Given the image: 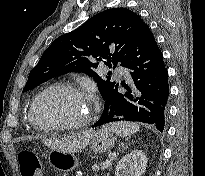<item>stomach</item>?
<instances>
[{"mask_svg": "<svg viewBox=\"0 0 205 176\" xmlns=\"http://www.w3.org/2000/svg\"><path fill=\"white\" fill-rule=\"evenodd\" d=\"M116 143L112 131L102 127L91 133L89 145L93 152L104 153L111 150ZM50 165L59 171L69 172L77 168L78 159L72 152L53 149L48 156Z\"/></svg>", "mask_w": 205, "mask_h": 176, "instance_id": "0dacf381", "label": "stomach"}]
</instances>
